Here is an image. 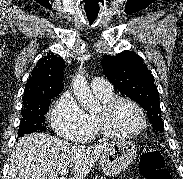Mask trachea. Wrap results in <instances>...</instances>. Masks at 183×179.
Masks as SVG:
<instances>
[{
    "label": "trachea",
    "instance_id": "obj_1",
    "mask_svg": "<svg viewBox=\"0 0 183 179\" xmlns=\"http://www.w3.org/2000/svg\"><path fill=\"white\" fill-rule=\"evenodd\" d=\"M87 14V13H86ZM97 15H98V12H91V13H88L87 14V17H88V21H89V24H93V22L95 21V19L97 18Z\"/></svg>",
    "mask_w": 183,
    "mask_h": 179
}]
</instances>
